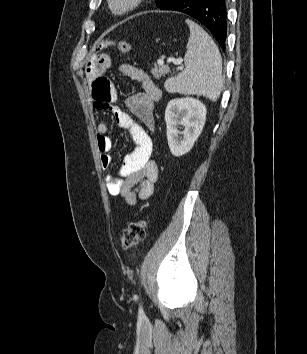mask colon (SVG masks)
<instances>
[{"label":"colon","instance_id":"5ec220e1","mask_svg":"<svg viewBox=\"0 0 307 354\" xmlns=\"http://www.w3.org/2000/svg\"><path fill=\"white\" fill-rule=\"evenodd\" d=\"M119 51L127 55L131 52V44L127 41H120L118 44ZM147 223L143 219L130 222L121 234V243L124 248L130 249L137 246L146 235Z\"/></svg>","mask_w":307,"mask_h":354}]
</instances>
